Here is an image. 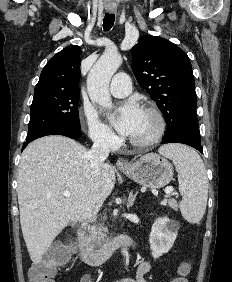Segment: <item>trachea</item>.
I'll return each instance as SVG.
<instances>
[{"label": "trachea", "instance_id": "3493384b", "mask_svg": "<svg viewBox=\"0 0 232 282\" xmlns=\"http://www.w3.org/2000/svg\"><path fill=\"white\" fill-rule=\"evenodd\" d=\"M114 21H115V15L106 13L103 20L104 31H109L114 25Z\"/></svg>", "mask_w": 232, "mask_h": 282}]
</instances>
